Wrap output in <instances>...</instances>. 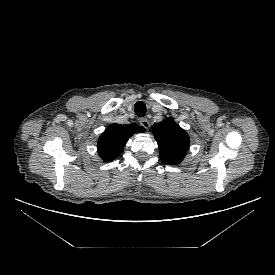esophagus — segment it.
<instances>
[{
  "label": "esophagus",
  "mask_w": 275,
  "mask_h": 275,
  "mask_svg": "<svg viewBox=\"0 0 275 275\" xmlns=\"http://www.w3.org/2000/svg\"><path fill=\"white\" fill-rule=\"evenodd\" d=\"M140 125L144 127L145 129H148L150 127V123L146 118L140 119Z\"/></svg>",
  "instance_id": "1"
}]
</instances>
